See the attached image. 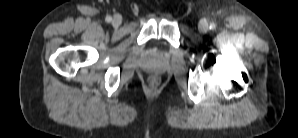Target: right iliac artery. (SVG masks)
I'll return each mask as SVG.
<instances>
[{"instance_id": "82829eb1", "label": "right iliac artery", "mask_w": 298, "mask_h": 138, "mask_svg": "<svg viewBox=\"0 0 298 138\" xmlns=\"http://www.w3.org/2000/svg\"><path fill=\"white\" fill-rule=\"evenodd\" d=\"M106 21H107V22H111V21H112V17H111V16H107V17H106Z\"/></svg>"}]
</instances>
